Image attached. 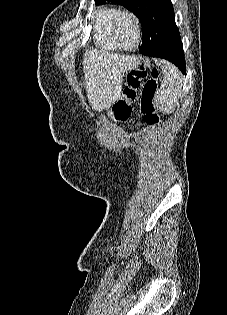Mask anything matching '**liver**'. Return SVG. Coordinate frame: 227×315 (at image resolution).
<instances>
[{
    "instance_id": "liver-1",
    "label": "liver",
    "mask_w": 227,
    "mask_h": 315,
    "mask_svg": "<svg viewBox=\"0 0 227 315\" xmlns=\"http://www.w3.org/2000/svg\"><path fill=\"white\" fill-rule=\"evenodd\" d=\"M134 57L99 50L84 54L83 67L87 97L94 110L110 108L120 97L127 71L136 67Z\"/></svg>"
}]
</instances>
